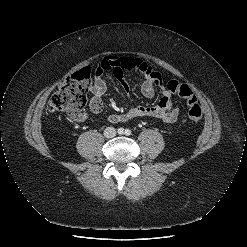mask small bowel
Returning <instances> with one entry per match:
<instances>
[{
    "label": "small bowel",
    "mask_w": 247,
    "mask_h": 247,
    "mask_svg": "<svg viewBox=\"0 0 247 247\" xmlns=\"http://www.w3.org/2000/svg\"><path fill=\"white\" fill-rule=\"evenodd\" d=\"M110 70L113 71L125 93L130 92L129 85L124 80V72L129 70H135L143 75L144 81L141 85V92L146 98H153L155 96L156 88L160 89L161 92V97L155 105H139L125 112L110 113L108 115V120L111 123L126 122L131 119L142 117L159 118L166 123H173L177 120L179 108L172 103L171 93L164 82V76L155 71L142 59L127 56H107L101 60L94 81L89 86V90L92 93L89 106L93 113H100L103 109L102 96L107 90V83L103 74ZM70 116L77 122H83L87 119V114L85 112L71 114Z\"/></svg>",
    "instance_id": "1"
}]
</instances>
